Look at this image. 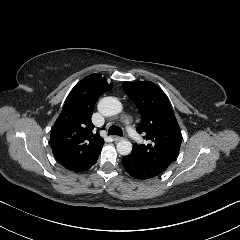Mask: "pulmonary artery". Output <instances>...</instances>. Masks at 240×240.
Instances as JSON below:
<instances>
[{
	"instance_id": "pulmonary-artery-1",
	"label": "pulmonary artery",
	"mask_w": 240,
	"mask_h": 240,
	"mask_svg": "<svg viewBox=\"0 0 240 240\" xmlns=\"http://www.w3.org/2000/svg\"><path fill=\"white\" fill-rule=\"evenodd\" d=\"M124 128L127 130V132L130 134L132 138H134L137 142L144 143L146 141V138L144 136H140L136 131L131 127L129 123H126L124 125Z\"/></svg>"
}]
</instances>
